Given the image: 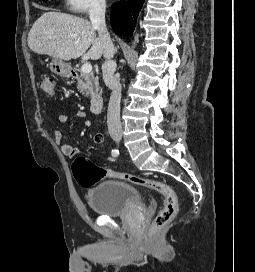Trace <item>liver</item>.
Instances as JSON below:
<instances>
[{
    "mask_svg": "<svg viewBox=\"0 0 255 272\" xmlns=\"http://www.w3.org/2000/svg\"><path fill=\"white\" fill-rule=\"evenodd\" d=\"M28 46L37 54L65 61L79 57L97 60L104 51L91 22L54 11L35 21L28 34Z\"/></svg>",
    "mask_w": 255,
    "mask_h": 272,
    "instance_id": "liver-1",
    "label": "liver"
}]
</instances>
